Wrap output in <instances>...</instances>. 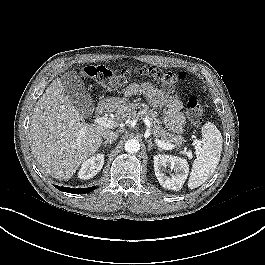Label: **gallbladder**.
<instances>
[{
    "instance_id": "obj_1",
    "label": "gallbladder",
    "mask_w": 265,
    "mask_h": 265,
    "mask_svg": "<svg viewBox=\"0 0 265 265\" xmlns=\"http://www.w3.org/2000/svg\"><path fill=\"white\" fill-rule=\"evenodd\" d=\"M61 81L64 91L79 111L89 114L94 110L93 100L76 71L67 72Z\"/></svg>"
}]
</instances>
